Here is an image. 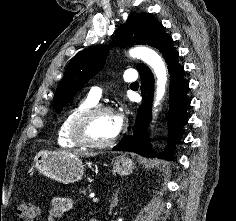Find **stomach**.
Segmentation results:
<instances>
[{
	"label": "stomach",
	"instance_id": "1",
	"mask_svg": "<svg viewBox=\"0 0 236 221\" xmlns=\"http://www.w3.org/2000/svg\"><path fill=\"white\" fill-rule=\"evenodd\" d=\"M34 167L43 175L62 182L74 183L84 174V164L78 155L64 152H39L33 162ZM113 172L129 175L134 169L131 158L120 156L112 162Z\"/></svg>",
	"mask_w": 236,
	"mask_h": 221
}]
</instances>
